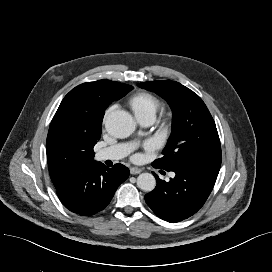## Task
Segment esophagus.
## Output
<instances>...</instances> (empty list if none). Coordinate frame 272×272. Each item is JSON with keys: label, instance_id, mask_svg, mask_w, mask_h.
I'll use <instances>...</instances> for the list:
<instances>
[{"label": "esophagus", "instance_id": "esophagus-1", "mask_svg": "<svg viewBox=\"0 0 272 272\" xmlns=\"http://www.w3.org/2000/svg\"><path fill=\"white\" fill-rule=\"evenodd\" d=\"M142 172V170L140 169V168H137V167H131L130 168V173L132 174V175H136V174H139V173H141Z\"/></svg>", "mask_w": 272, "mask_h": 272}]
</instances>
